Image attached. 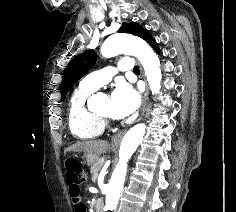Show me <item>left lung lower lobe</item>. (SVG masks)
Wrapping results in <instances>:
<instances>
[{
  "mask_svg": "<svg viewBox=\"0 0 236 212\" xmlns=\"http://www.w3.org/2000/svg\"><path fill=\"white\" fill-rule=\"evenodd\" d=\"M145 41H147L155 50L157 53H159V49L157 47L156 41L152 38L150 34L147 35Z\"/></svg>",
  "mask_w": 236,
  "mask_h": 212,
  "instance_id": "1",
  "label": "left lung lower lobe"
}]
</instances>
